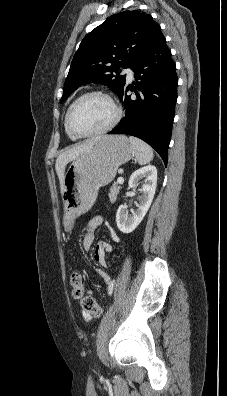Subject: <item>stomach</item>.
I'll list each match as a JSON object with an SVG mask.
<instances>
[{
  "mask_svg": "<svg viewBox=\"0 0 227 396\" xmlns=\"http://www.w3.org/2000/svg\"><path fill=\"white\" fill-rule=\"evenodd\" d=\"M134 154L129 139L123 135L99 138L70 164L64 176L63 226L71 231L74 220L94 205L99 188L111 183L117 169Z\"/></svg>",
  "mask_w": 227,
  "mask_h": 396,
  "instance_id": "0dacf381",
  "label": "stomach"
}]
</instances>
